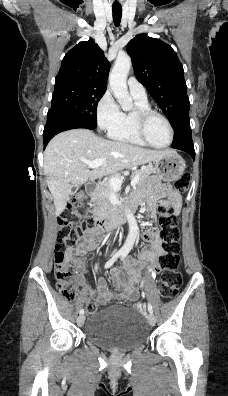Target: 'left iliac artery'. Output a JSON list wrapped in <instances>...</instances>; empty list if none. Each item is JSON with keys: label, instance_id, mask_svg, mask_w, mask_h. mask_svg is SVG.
Instances as JSON below:
<instances>
[{"label": "left iliac artery", "instance_id": "obj_1", "mask_svg": "<svg viewBox=\"0 0 228 396\" xmlns=\"http://www.w3.org/2000/svg\"><path fill=\"white\" fill-rule=\"evenodd\" d=\"M126 256H127V253H126V252H123V254L121 255V260H124V258H125ZM148 311H149L150 314L153 313V308H152V306H151L150 303H148Z\"/></svg>", "mask_w": 228, "mask_h": 396}]
</instances>
